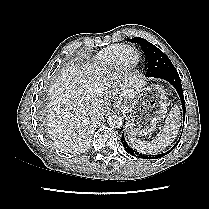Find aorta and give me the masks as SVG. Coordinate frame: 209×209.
<instances>
[{"label":"aorta","mask_w":209,"mask_h":209,"mask_svg":"<svg viewBox=\"0 0 209 209\" xmlns=\"http://www.w3.org/2000/svg\"><path fill=\"white\" fill-rule=\"evenodd\" d=\"M123 121V118L119 114H112L108 117V123L112 128H120Z\"/></svg>","instance_id":"762f6f07"}]
</instances>
